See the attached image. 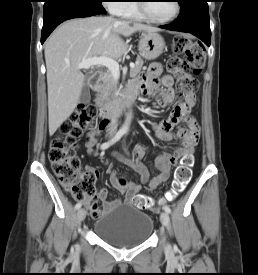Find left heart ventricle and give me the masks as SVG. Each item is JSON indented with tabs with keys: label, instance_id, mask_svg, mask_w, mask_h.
Here are the masks:
<instances>
[{
	"label": "left heart ventricle",
	"instance_id": "b2bd125f",
	"mask_svg": "<svg viewBox=\"0 0 258 275\" xmlns=\"http://www.w3.org/2000/svg\"><path fill=\"white\" fill-rule=\"evenodd\" d=\"M147 9L150 15L156 19H166L175 13V3L171 0L149 1Z\"/></svg>",
	"mask_w": 258,
	"mask_h": 275
}]
</instances>
